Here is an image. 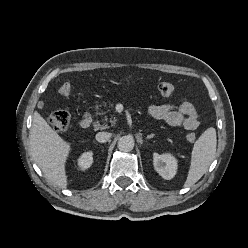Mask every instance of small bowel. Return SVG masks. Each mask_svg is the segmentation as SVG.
<instances>
[{
  "label": "small bowel",
  "instance_id": "c3829d8e",
  "mask_svg": "<svg viewBox=\"0 0 248 248\" xmlns=\"http://www.w3.org/2000/svg\"><path fill=\"white\" fill-rule=\"evenodd\" d=\"M148 113L170 126H182L186 130H195L200 124L199 115L189 98H178L176 104L152 105Z\"/></svg>",
  "mask_w": 248,
  "mask_h": 248
}]
</instances>
